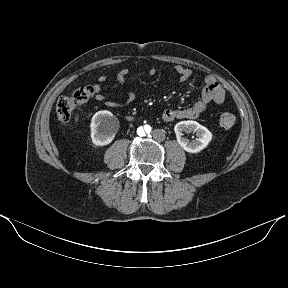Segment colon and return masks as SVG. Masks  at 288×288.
Returning a JSON list of instances; mask_svg holds the SVG:
<instances>
[{
    "label": "colon",
    "mask_w": 288,
    "mask_h": 288,
    "mask_svg": "<svg viewBox=\"0 0 288 288\" xmlns=\"http://www.w3.org/2000/svg\"><path fill=\"white\" fill-rule=\"evenodd\" d=\"M94 94L91 86H80L73 89L69 94L61 96L56 104V113L60 122H69L75 107L87 102ZM235 123V117L231 113H223L220 116V125L225 128H231Z\"/></svg>",
    "instance_id": "5ec220e1"
}]
</instances>
